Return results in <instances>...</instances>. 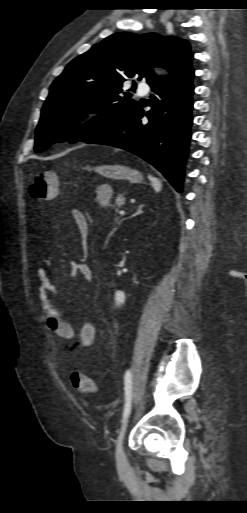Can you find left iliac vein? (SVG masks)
I'll return each mask as SVG.
<instances>
[{"label":"left iliac vein","mask_w":247,"mask_h":513,"mask_svg":"<svg viewBox=\"0 0 247 513\" xmlns=\"http://www.w3.org/2000/svg\"><path fill=\"white\" fill-rule=\"evenodd\" d=\"M128 423H129V416H127L122 423V426L119 431L117 443H116L115 458H116V465H117V469H118L119 473H125L129 468V464H128L126 454H125V451L123 448V440L125 437Z\"/></svg>","instance_id":"4c4485c4"}]
</instances>
